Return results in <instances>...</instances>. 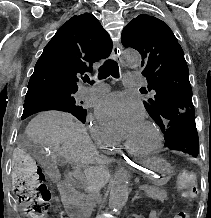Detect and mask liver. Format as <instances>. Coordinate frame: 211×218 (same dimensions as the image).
Listing matches in <instances>:
<instances>
[{
    "instance_id": "1",
    "label": "liver",
    "mask_w": 211,
    "mask_h": 218,
    "mask_svg": "<svg viewBox=\"0 0 211 218\" xmlns=\"http://www.w3.org/2000/svg\"><path fill=\"white\" fill-rule=\"evenodd\" d=\"M25 134L33 142L47 146L53 160L63 156L67 162L84 166L85 172H90L98 182L107 184L109 162L95 150L85 126L71 114L41 112L26 126Z\"/></svg>"
}]
</instances>
